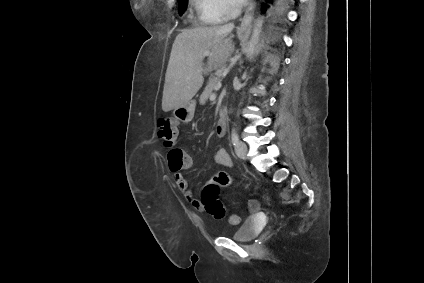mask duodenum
<instances>
[{"mask_svg": "<svg viewBox=\"0 0 424 283\" xmlns=\"http://www.w3.org/2000/svg\"><path fill=\"white\" fill-rule=\"evenodd\" d=\"M226 126H227V118H226V113L222 112L217 120L216 123V133L219 136H222L225 134L226 131Z\"/></svg>", "mask_w": 424, "mask_h": 283, "instance_id": "1", "label": "duodenum"}]
</instances>
